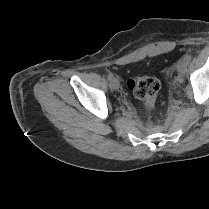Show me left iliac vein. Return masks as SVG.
<instances>
[{
	"mask_svg": "<svg viewBox=\"0 0 209 209\" xmlns=\"http://www.w3.org/2000/svg\"><path fill=\"white\" fill-rule=\"evenodd\" d=\"M187 62L184 59H181L178 61L177 65H176V70L179 73V81L181 82V77L183 75V73L185 72L186 66H187Z\"/></svg>",
	"mask_w": 209,
	"mask_h": 209,
	"instance_id": "1",
	"label": "left iliac vein"
}]
</instances>
